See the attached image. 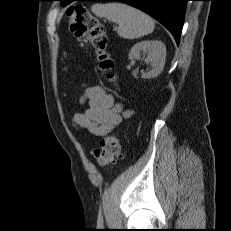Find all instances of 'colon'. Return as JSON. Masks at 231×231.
<instances>
[{"label":"colon","instance_id":"5ec220e1","mask_svg":"<svg viewBox=\"0 0 231 231\" xmlns=\"http://www.w3.org/2000/svg\"><path fill=\"white\" fill-rule=\"evenodd\" d=\"M67 13L71 32L93 49L100 70L108 72L109 79L114 80L115 77L111 74L114 63L107 51L108 39L103 25L83 5H71ZM119 154L120 144L114 134L102 138L94 149V158L100 166L113 163Z\"/></svg>","mask_w":231,"mask_h":231}]
</instances>
